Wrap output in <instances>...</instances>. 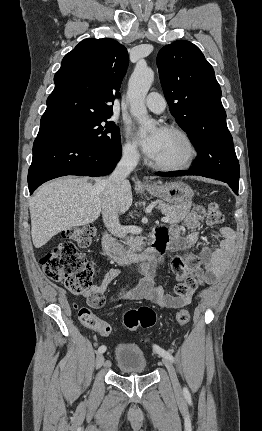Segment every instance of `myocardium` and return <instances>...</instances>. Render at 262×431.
<instances>
[{
	"mask_svg": "<svg viewBox=\"0 0 262 431\" xmlns=\"http://www.w3.org/2000/svg\"><path fill=\"white\" fill-rule=\"evenodd\" d=\"M162 130L179 136L185 142L186 153L183 159L177 163L165 164L151 160V166L161 171H180L189 168L194 162L197 154L196 145L192 137L187 131L176 125H166Z\"/></svg>",
	"mask_w": 262,
	"mask_h": 431,
	"instance_id": "obj_1",
	"label": "myocardium"
}]
</instances>
